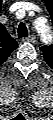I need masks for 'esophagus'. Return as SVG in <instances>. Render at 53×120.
<instances>
[{"label": "esophagus", "mask_w": 53, "mask_h": 120, "mask_svg": "<svg viewBox=\"0 0 53 120\" xmlns=\"http://www.w3.org/2000/svg\"><path fill=\"white\" fill-rule=\"evenodd\" d=\"M36 40V37L35 36H33V35H30V36H28V37H25V38H23L22 39V42H34Z\"/></svg>", "instance_id": "1"}]
</instances>
